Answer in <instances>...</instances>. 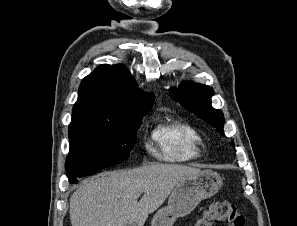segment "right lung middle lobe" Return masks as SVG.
Masks as SVG:
<instances>
[{"mask_svg": "<svg viewBox=\"0 0 297 226\" xmlns=\"http://www.w3.org/2000/svg\"><path fill=\"white\" fill-rule=\"evenodd\" d=\"M150 109L127 108L117 124L70 123V152L65 163L69 182L128 159L141 118Z\"/></svg>", "mask_w": 297, "mask_h": 226, "instance_id": "right-lung-middle-lobe-1", "label": "right lung middle lobe"}]
</instances>
